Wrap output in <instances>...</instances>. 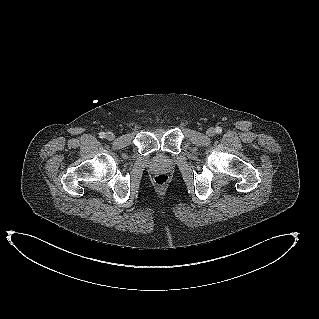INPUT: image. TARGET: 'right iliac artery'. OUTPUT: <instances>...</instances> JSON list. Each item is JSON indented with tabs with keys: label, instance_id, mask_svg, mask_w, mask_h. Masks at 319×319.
I'll return each mask as SVG.
<instances>
[{
	"label": "right iliac artery",
	"instance_id": "82829eb1",
	"mask_svg": "<svg viewBox=\"0 0 319 319\" xmlns=\"http://www.w3.org/2000/svg\"><path fill=\"white\" fill-rule=\"evenodd\" d=\"M99 137H100V138H104V137H105V133H104V132H100V133H99Z\"/></svg>",
	"mask_w": 319,
	"mask_h": 319
}]
</instances>
